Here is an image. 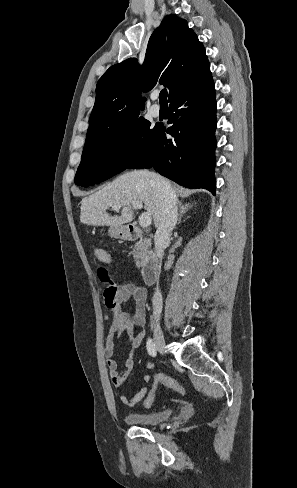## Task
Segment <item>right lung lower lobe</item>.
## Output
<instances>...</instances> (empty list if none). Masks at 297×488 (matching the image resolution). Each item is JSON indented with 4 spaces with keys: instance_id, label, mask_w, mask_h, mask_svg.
I'll list each match as a JSON object with an SVG mask.
<instances>
[{
    "instance_id": "98d812e1",
    "label": "right lung lower lobe",
    "mask_w": 297,
    "mask_h": 488,
    "mask_svg": "<svg viewBox=\"0 0 297 488\" xmlns=\"http://www.w3.org/2000/svg\"><path fill=\"white\" fill-rule=\"evenodd\" d=\"M173 126L161 127L128 167H153L161 175L188 188H205L215 195L216 101L211 74L170 101ZM175 112V113H173ZM170 134L174 139H167Z\"/></svg>"
}]
</instances>
